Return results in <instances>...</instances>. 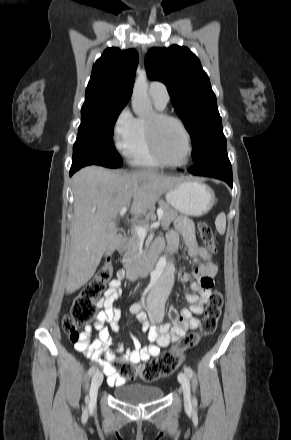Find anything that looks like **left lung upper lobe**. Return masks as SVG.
<instances>
[{"instance_id": "1", "label": "left lung upper lobe", "mask_w": 291, "mask_h": 440, "mask_svg": "<svg viewBox=\"0 0 291 440\" xmlns=\"http://www.w3.org/2000/svg\"><path fill=\"white\" fill-rule=\"evenodd\" d=\"M148 78L163 82L177 115L191 135L195 165L226 146L216 96L199 59L187 48H152L145 58Z\"/></svg>"}]
</instances>
